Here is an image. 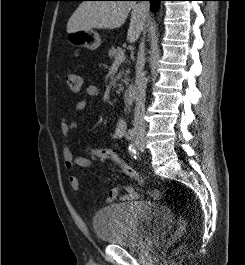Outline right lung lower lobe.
<instances>
[{
	"label": "right lung lower lobe",
	"instance_id": "1",
	"mask_svg": "<svg viewBox=\"0 0 245 265\" xmlns=\"http://www.w3.org/2000/svg\"><path fill=\"white\" fill-rule=\"evenodd\" d=\"M127 1H142V0H127ZM145 1H150V7L152 11H155L158 5L159 1H164V0H145Z\"/></svg>",
	"mask_w": 245,
	"mask_h": 265
}]
</instances>
